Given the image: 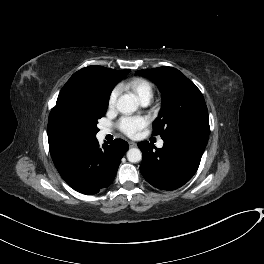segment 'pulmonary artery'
<instances>
[{"label": "pulmonary artery", "instance_id": "obj_1", "mask_svg": "<svg viewBox=\"0 0 264 264\" xmlns=\"http://www.w3.org/2000/svg\"><path fill=\"white\" fill-rule=\"evenodd\" d=\"M150 101H151V99L150 98H144V99H142V100H140V102H141V104L143 105V106H147L149 103H150ZM110 131L109 130H107V129H102V131H101V133L102 134H108ZM163 140L161 139V140H159L158 141V143H157V145L159 146V147H162L163 146Z\"/></svg>", "mask_w": 264, "mask_h": 264}]
</instances>
